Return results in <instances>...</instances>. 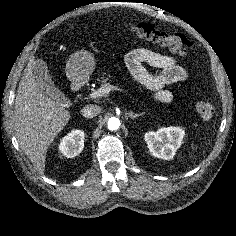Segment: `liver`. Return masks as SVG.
I'll list each match as a JSON object with an SVG mask.
<instances>
[{
	"label": "liver",
	"mask_w": 236,
	"mask_h": 236,
	"mask_svg": "<svg viewBox=\"0 0 236 236\" xmlns=\"http://www.w3.org/2000/svg\"><path fill=\"white\" fill-rule=\"evenodd\" d=\"M32 57L19 82L14 106L15 136L35 169L45 171L46 152L70 120V112L55 99L43 94L33 74Z\"/></svg>",
	"instance_id": "1"
}]
</instances>
